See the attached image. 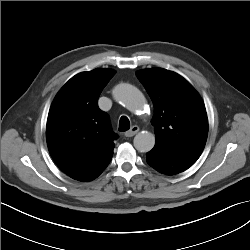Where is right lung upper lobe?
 <instances>
[{
    "label": "right lung upper lobe",
    "instance_id": "obj_1",
    "mask_svg": "<svg viewBox=\"0 0 250 250\" xmlns=\"http://www.w3.org/2000/svg\"><path fill=\"white\" fill-rule=\"evenodd\" d=\"M112 69L98 68L72 77L51 105L46 128L49 152L57 166L78 179L113 155L117 138L98 98L113 77Z\"/></svg>",
    "mask_w": 250,
    "mask_h": 250
}]
</instances>
